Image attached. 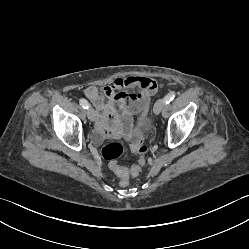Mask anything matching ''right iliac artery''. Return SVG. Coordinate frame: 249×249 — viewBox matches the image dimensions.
<instances>
[{
    "mask_svg": "<svg viewBox=\"0 0 249 249\" xmlns=\"http://www.w3.org/2000/svg\"><path fill=\"white\" fill-rule=\"evenodd\" d=\"M79 103H80V105L84 108V109H88L89 108V103H88V101L86 100V99H84V98H81L80 100H79Z\"/></svg>",
    "mask_w": 249,
    "mask_h": 249,
    "instance_id": "1",
    "label": "right iliac artery"
}]
</instances>
